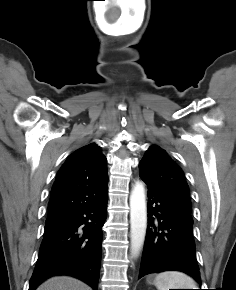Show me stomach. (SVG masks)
Segmentation results:
<instances>
[{"label": "stomach", "mask_w": 236, "mask_h": 290, "mask_svg": "<svg viewBox=\"0 0 236 290\" xmlns=\"http://www.w3.org/2000/svg\"><path fill=\"white\" fill-rule=\"evenodd\" d=\"M154 277L153 276H149L148 278H147V283L148 284H154Z\"/></svg>", "instance_id": "1"}]
</instances>
